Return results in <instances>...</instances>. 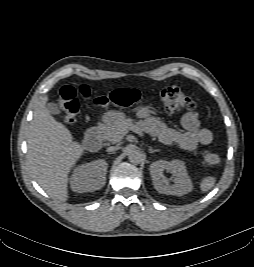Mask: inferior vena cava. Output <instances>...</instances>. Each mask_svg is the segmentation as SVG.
<instances>
[{"label": "inferior vena cava", "instance_id": "inferior-vena-cava-1", "mask_svg": "<svg viewBox=\"0 0 254 267\" xmlns=\"http://www.w3.org/2000/svg\"><path fill=\"white\" fill-rule=\"evenodd\" d=\"M116 150H118V147L117 146H110V147H108L107 148V152H113V151H116Z\"/></svg>", "mask_w": 254, "mask_h": 267}]
</instances>
